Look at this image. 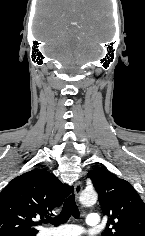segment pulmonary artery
Returning <instances> with one entry per match:
<instances>
[{
	"label": "pulmonary artery",
	"mask_w": 145,
	"mask_h": 236,
	"mask_svg": "<svg viewBox=\"0 0 145 236\" xmlns=\"http://www.w3.org/2000/svg\"><path fill=\"white\" fill-rule=\"evenodd\" d=\"M86 224L89 227H98L100 225L99 216L95 213H90L86 217ZM82 232V228L78 225L67 224L59 228L48 229L43 236H79Z\"/></svg>",
	"instance_id": "1"
}]
</instances>
